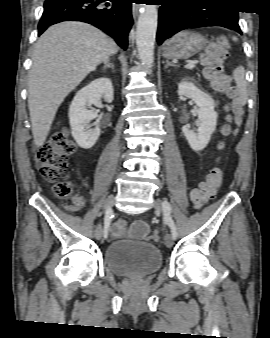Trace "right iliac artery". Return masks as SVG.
Wrapping results in <instances>:
<instances>
[{"label": "right iliac artery", "instance_id": "obj_1", "mask_svg": "<svg viewBox=\"0 0 270 338\" xmlns=\"http://www.w3.org/2000/svg\"><path fill=\"white\" fill-rule=\"evenodd\" d=\"M113 211L112 209H108L105 213V217H104V231H103V236L104 238H107L108 233H109V228H110V224H111V220L113 218Z\"/></svg>", "mask_w": 270, "mask_h": 338}]
</instances>
